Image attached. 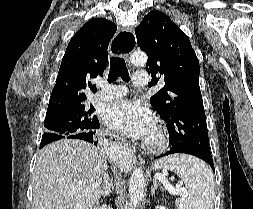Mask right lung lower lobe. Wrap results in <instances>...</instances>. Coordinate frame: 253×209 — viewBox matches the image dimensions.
Instances as JSON below:
<instances>
[{
  "label": "right lung lower lobe",
  "instance_id": "1",
  "mask_svg": "<svg viewBox=\"0 0 253 209\" xmlns=\"http://www.w3.org/2000/svg\"><path fill=\"white\" fill-rule=\"evenodd\" d=\"M99 128V121L95 123L94 128L89 130L88 132H82L79 134H75L72 135V139H80V140H85L88 141L90 143H94L95 145H97V134L95 129ZM42 148V147H40Z\"/></svg>",
  "mask_w": 253,
  "mask_h": 209
}]
</instances>
